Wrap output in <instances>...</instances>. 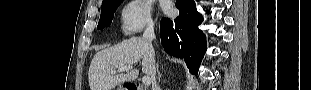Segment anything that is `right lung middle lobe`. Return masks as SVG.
<instances>
[{"label": "right lung middle lobe", "instance_id": "right-lung-middle-lobe-1", "mask_svg": "<svg viewBox=\"0 0 311 90\" xmlns=\"http://www.w3.org/2000/svg\"><path fill=\"white\" fill-rule=\"evenodd\" d=\"M121 1L122 0H110L102 4L101 16L97 26L98 29H103L107 26H110V24L112 23L114 12L116 11Z\"/></svg>", "mask_w": 311, "mask_h": 90}]
</instances>
